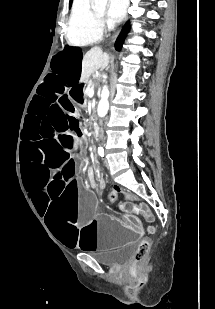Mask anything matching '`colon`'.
<instances>
[{
	"label": "colon",
	"instance_id": "5ec220e1",
	"mask_svg": "<svg viewBox=\"0 0 215 309\" xmlns=\"http://www.w3.org/2000/svg\"><path fill=\"white\" fill-rule=\"evenodd\" d=\"M118 195L116 190H112L109 193V199L111 202H114ZM150 233H153L155 228L153 226H149L148 228ZM150 249V240L148 238H144L138 241L137 248H136V258L138 261H145L148 255V251Z\"/></svg>",
	"mask_w": 215,
	"mask_h": 309
}]
</instances>
